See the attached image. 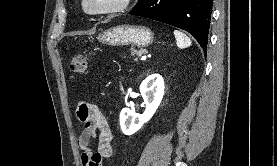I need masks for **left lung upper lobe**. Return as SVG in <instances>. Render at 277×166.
Segmentation results:
<instances>
[{
    "instance_id": "left-lung-upper-lobe-1",
    "label": "left lung upper lobe",
    "mask_w": 277,
    "mask_h": 166,
    "mask_svg": "<svg viewBox=\"0 0 277 166\" xmlns=\"http://www.w3.org/2000/svg\"><path fill=\"white\" fill-rule=\"evenodd\" d=\"M145 1H146V0H139L138 3H137V5H136L135 7H138V6L142 5ZM135 7H134V8H135Z\"/></svg>"
}]
</instances>
